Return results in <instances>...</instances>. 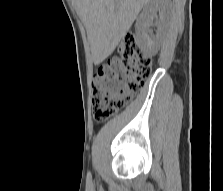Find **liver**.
Masks as SVG:
<instances>
[{"mask_svg":"<svg viewBox=\"0 0 223 191\" xmlns=\"http://www.w3.org/2000/svg\"><path fill=\"white\" fill-rule=\"evenodd\" d=\"M149 0H75L97 65L109 57Z\"/></svg>","mask_w":223,"mask_h":191,"instance_id":"obj_1","label":"liver"}]
</instances>
